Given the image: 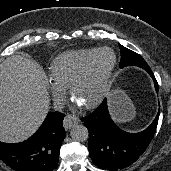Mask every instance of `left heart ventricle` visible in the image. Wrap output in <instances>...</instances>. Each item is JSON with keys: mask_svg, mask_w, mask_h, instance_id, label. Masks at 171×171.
<instances>
[{"mask_svg": "<svg viewBox=\"0 0 171 171\" xmlns=\"http://www.w3.org/2000/svg\"><path fill=\"white\" fill-rule=\"evenodd\" d=\"M112 61L113 56L109 51H103L97 55L85 78L75 88L73 97L79 104H87L98 95L103 76Z\"/></svg>", "mask_w": 171, "mask_h": 171, "instance_id": "obj_1", "label": "left heart ventricle"}]
</instances>
